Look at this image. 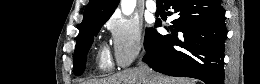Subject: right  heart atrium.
Masks as SVG:
<instances>
[{
    "mask_svg": "<svg viewBox=\"0 0 260 84\" xmlns=\"http://www.w3.org/2000/svg\"><path fill=\"white\" fill-rule=\"evenodd\" d=\"M110 35L111 58L118 67H126L145 49L142 27L139 22L119 16L106 22Z\"/></svg>",
    "mask_w": 260,
    "mask_h": 84,
    "instance_id": "d8ad5b80",
    "label": "right heart atrium"
}]
</instances>
